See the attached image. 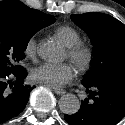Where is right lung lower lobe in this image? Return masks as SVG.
Wrapping results in <instances>:
<instances>
[{"instance_id":"98d812e1","label":"right lung lower lobe","mask_w":125,"mask_h":125,"mask_svg":"<svg viewBox=\"0 0 125 125\" xmlns=\"http://www.w3.org/2000/svg\"><path fill=\"white\" fill-rule=\"evenodd\" d=\"M27 72L23 67L13 71L0 68V122L21 113L33 87L24 85Z\"/></svg>"}]
</instances>
